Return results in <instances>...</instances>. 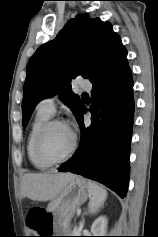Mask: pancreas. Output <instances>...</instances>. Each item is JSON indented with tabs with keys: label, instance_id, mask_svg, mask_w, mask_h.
I'll return each instance as SVG.
<instances>
[{
	"label": "pancreas",
	"instance_id": "obj_1",
	"mask_svg": "<svg viewBox=\"0 0 158 237\" xmlns=\"http://www.w3.org/2000/svg\"><path fill=\"white\" fill-rule=\"evenodd\" d=\"M61 226H62L63 228H67V232H68V233H71L70 235H72V236H77L78 233H80V230H79V229H76V228H75V229L71 230V229H70V223L67 222L66 220H63V221H62Z\"/></svg>",
	"mask_w": 158,
	"mask_h": 237
}]
</instances>
